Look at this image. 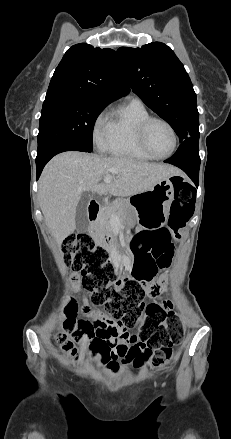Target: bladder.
<instances>
[{
    "label": "bladder",
    "instance_id": "31cf9c89",
    "mask_svg": "<svg viewBox=\"0 0 231 439\" xmlns=\"http://www.w3.org/2000/svg\"><path fill=\"white\" fill-rule=\"evenodd\" d=\"M131 378H132V379H135V378H137V376H136V375H132Z\"/></svg>",
    "mask_w": 231,
    "mask_h": 439
}]
</instances>
